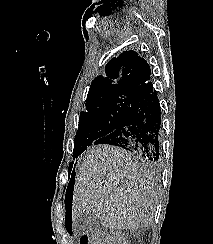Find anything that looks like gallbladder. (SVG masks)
Masks as SVG:
<instances>
[{
    "label": "gallbladder",
    "instance_id": "bac80fb5",
    "mask_svg": "<svg viewBox=\"0 0 213 244\" xmlns=\"http://www.w3.org/2000/svg\"><path fill=\"white\" fill-rule=\"evenodd\" d=\"M74 231L79 235L94 234L101 230L102 226L92 213H84L74 220Z\"/></svg>",
    "mask_w": 213,
    "mask_h": 244
}]
</instances>
